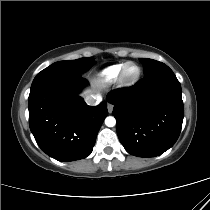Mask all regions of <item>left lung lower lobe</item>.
I'll return each mask as SVG.
<instances>
[{
  "label": "left lung lower lobe",
  "mask_w": 210,
  "mask_h": 210,
  "mask_svg": "<svg viewBox=\"0 0 210 210\" xmlns=\"http://www.w3.org/2000/svg\"><path fill=\"white\" fill-rule=\"evenodd\" d=\"M117 134L125 150L155 157L177 141L184 117L181 85L169 67L145 76L135 86L112 91Z\"/></svg>",
  "instance_id": "0a47b994"
}]
</instances>
